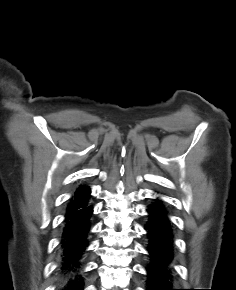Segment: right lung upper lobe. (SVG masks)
Listing matches in <instances>:
<instances>
[{"label":"right lung upper lobe","instance_id":"right-lung-upper-lobe-1","mask_svg":"<svg viewBox=\"0 0 236 290\" xmlns=\"http://www.w3.org/2000/svg\"><path fill=\"white\" fill-rule=\"evenodd\" d=\"M90 190L88 187H80L75 192V195L73 196L72 200L70 201V204L67 208V210L74 209L75 207L81 206L84 204L89 197Z\"/></svg>","mask_w":236,"mask_h":290}]
</instances>
